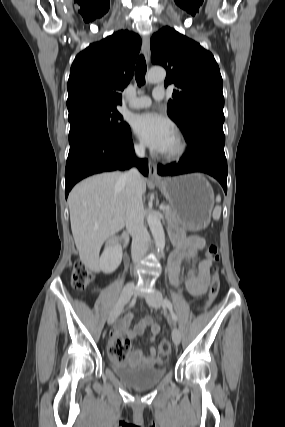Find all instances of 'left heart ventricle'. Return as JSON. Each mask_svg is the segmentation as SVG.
Listing matches in <instances>:
<instances>
[{
  "label": "left heart ventricle",
  "mask_w": 285,
  "mask_h": 427,
  "mask_svg": "<svg viewBox=\"0 0 285 427\" xmlns=\"http://www.w3.org/2000/svg\"><path fill=\"white\" fill-rule=\"evenodd\" d=\"M175 147H176V139H175V137H173L170 144L168 145V147L166 148V150L163 153L171 152L175 149Z\"/></svg>",
  "instance_id": "obj_1"
}]
</instances>
